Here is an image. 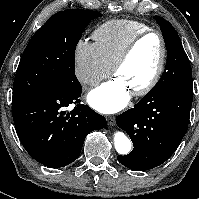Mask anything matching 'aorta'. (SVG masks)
Masks as SVG:
<instances>
[{
    "instance_id": "762f6f07",
    "label": "aorta",
    "mask_w": 199,
    "mask_h": 199,
    "mask_svg": "<svg viewBox=\"0 0 199 199\" xmlns=\"http://www.w3.org/2000/svg\"><path fill=\"white\" fill-rule=\"evenodd\" d=\"M114 144L117 153L120 155H126L131 151V142L128 137L122 132L115 133Z\"/></svg>"
}]
</instances>
